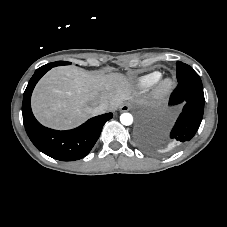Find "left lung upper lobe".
I'll return each mask as SVG.
<instances>
[{"label":"left lung upper lobe","mask_w":227,"mask_h":227,"mask_svg":"<svg viewBox=\"0 0 227 227\" xmlns=\"http://www.w3.org/2000/svg\"><path fill=\"white\" fill-rule=\"evenodd\" d=\"M178 83L190 82L202 85L199 75L187 64L178 61L176 64Z\"/></svg>","instance_id":"left-lung-upper-lobe-1"}]
</instances>
